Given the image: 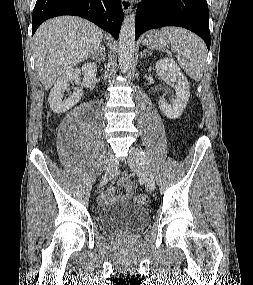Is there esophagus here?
I'll return each instance as SVG.
<instances>
[{"label":"esophagus","instance_id":"esophagus-1","mask_svg":"<svg viewBox=\"0 0 253 285\" xmlns=\"http://www.w3.org/2000/svg\"><path fill=\"white\" fill-rule=\"evenodd\" d=\"M122 8L124 13H128L131 11V1L130 0H121Z\"/></svg>","mask_w":253,"mask_h":285}]
</instances>
